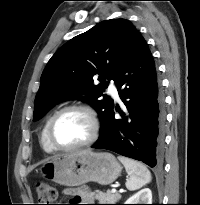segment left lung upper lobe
Returning <instances> with one entry per match:
<instances>
[{
    "label": "left lung upper lobe",
    "mask_w": 200,
    "mask_h": 205,
    "mask_svg": "<svg viewBox=\"0 0 200 205\" xmlns=\"http://www.w3.org/2000/svg\"><path fill=\"white\" fill-rule=\"evenodd\" d=\"M137 33L128 20L110 19L59 48L42 73L33 119L38 120L62 100L80 99L95 108L103 124L114 105L103 95L108 86L104 78L115 79ZM94 79L100 83L95 85Z\"/></svg>",
    "instance_id": "1"
}]
</instances>
